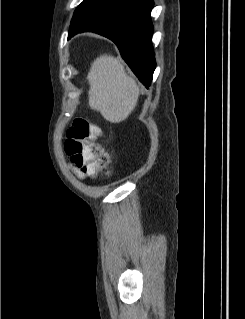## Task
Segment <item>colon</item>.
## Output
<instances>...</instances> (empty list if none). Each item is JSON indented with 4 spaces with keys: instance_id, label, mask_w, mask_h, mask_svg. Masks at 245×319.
<instances>
[{
    "instance_id": "obj_1",
    "label": "colon",
    "mask_w": 245,
    "mask_h": 319,
    "mask_svg": "<svg viewBox=\"0 0 245 319\" xmlns=\"http://www.w3.org/2000/svg\"><path fill=\"white\" fill-rule=\"evenodd\" d=\"M101 130L84 118L74 120L67 131L65 150L71 162L85 175L90 177L107 174L111 157L98 139Z\"/></svg>"
}]
</instances>
